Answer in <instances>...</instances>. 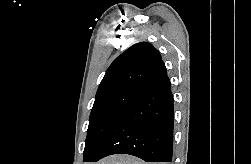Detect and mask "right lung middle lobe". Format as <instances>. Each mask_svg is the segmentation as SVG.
Segmentation results:
<instances>
[{
    "label": "right lung middle lobe",
    "mask_w": 251,
    "mask_h": 164,
    "mask_svg": "<svg viewBox=\"0 0 251 164\" xmlns=\"http://www.w3.org/2000/svg\"><path fill=\"white\" fill-rule=\"evenodd\" d=\"M140 93L141 89L123 87L96 96L89 119L84 160L90 156L110 126L139 97Z\"/></svg>",
    "instance_id": "right-lung-middle-lobe-1"
}]
</instances>
